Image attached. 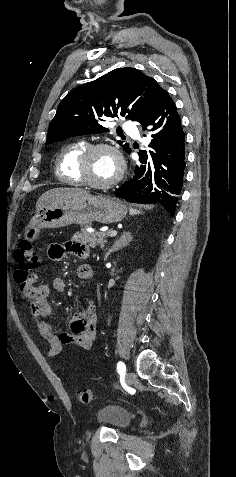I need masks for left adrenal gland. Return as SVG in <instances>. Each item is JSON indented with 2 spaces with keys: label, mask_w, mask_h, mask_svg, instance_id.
<instances>
[{
  "label": "left adrenal gland",
  "mask_w": 236,
  "mask_h": 477,
  "mask_svg": "<svg viewBox=\"0 0 236 477\" xmlns=\"http://www.w3.org/2000/svg\"><path fill=\"white\" fill-rule=\"evenodd\" d=\"M132 238L133 237L131 236L130 232H123L121 237L118 240H116L113 246L111 247V249L108 250V252L105 255V259H107V257L112 252L118 251L121 248L125 247L132 240Z\"/></svg>",
  "instance_id": "left-adrenal-gland-1"
}]
</instances>
